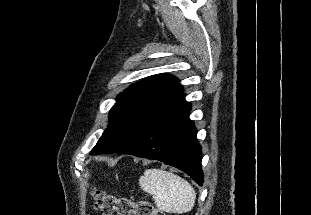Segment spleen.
Wrapping results in <instances>:
<instances>
[{
  "label": "spleen",
  "instance_id": "1",
  "mask_svg": "<svg viewBox=\"0 0 311 215\" xmlns=\"http://www.w3.org/2000/svg\"><path fill=\"white\" fill-rule=\"evenodd\" d=\"M139 185L153 196L157 207L164 212L183 214L194 207V188L188 181L172 172L148 169L140 177Z\"/></svg>",
  "mask_w": 311,
  "mask_h": 215
}]
</instances>
